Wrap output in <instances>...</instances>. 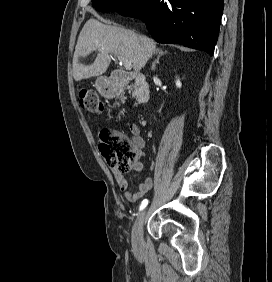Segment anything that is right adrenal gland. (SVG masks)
<instances>
[{"mask_svg":"<svg viewBox=\"0 0 272 282\" xmlns=\"http://www.w3.org/2000/svg\"><path fill=\"white\" fill-rule=\"evenodd\" d=\"M166 53L167 51H163L162 49H159V48L156 49L157 58L155 59V61L153 62L151 66L152 69H155V65L159 62L160 57Z\"/></svg>","mask_w":272,"mask_h":282,"instance_id":"1","label":"right adrenal gland"}]
</instances>
